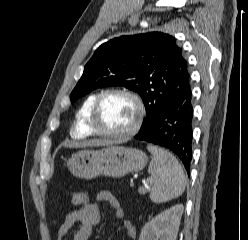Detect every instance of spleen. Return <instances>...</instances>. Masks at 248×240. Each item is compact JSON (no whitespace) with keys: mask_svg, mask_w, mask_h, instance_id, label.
Here are the masks:
<instances>
[{"mask_svg":"<svg viewBox=\"0 0 248 240\" xmlns=\"http://www.w3.org/2000/svg\"><path fill=\"white\" fill-rule=\"evenodd\" d=\"M152 154L148 173L150 199L154 203H164L179 197L186 187V176L178 160L163 148L148 145Z\"/></svg>","mask_w":248,"mask_h":240,"instance_id":"spleen-1","label":"spleen"}]
</instances>
